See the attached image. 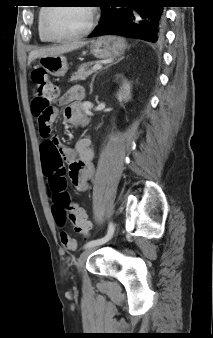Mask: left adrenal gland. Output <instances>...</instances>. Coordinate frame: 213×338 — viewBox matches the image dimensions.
<instances>
[{
	"label": "left adrenal gland",
	"instance_id": "a2214340",
	"mask_svg": "<svg viewBox=\"0 0 213 338\" xmlns=\"http://www.w3.org/2000/svg\"><path fill=\"white\" fill-rule=\"evenodd\" d=\"M122 59H123V57L120 58L118 61H116V62H114V63H112V64H109V65L106 66L105 68H108L109 66L118 63V62H119L120 60H122ZM105 68H104V69H105ZM97 74H98V72L95 73V74L93 75V77H92V81H91V83H90V94H92V92H93V83H94V80H95V77H96Z\"/></svg>",
	"mask_w": 213,
	"mask_h": 338
}]
</instances>
